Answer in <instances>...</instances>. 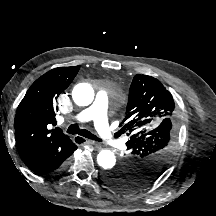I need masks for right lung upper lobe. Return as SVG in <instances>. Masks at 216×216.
I'll use <instances>...</instances> for the list:
<instances>
[{"instance_id":"obj_1","label":"right lung upper lobe","mask_w":216,"mask_h":216,"mask_svg":"<svg viewBox=\"0 0 216 216\" xmlns=\"http://www.w3.org/2000/svg\"><path fill=\"white\" fill-rule=\"evenodd\" d=\"M80 66L54 68L38 78L20 102L15 117L18 151L30 170L76 145L55 124V102L69 86Z\"/></svg>"}]
</instances>
